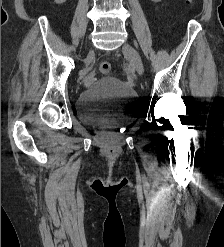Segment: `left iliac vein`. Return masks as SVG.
<instances>
[{
	"label": "left iliac vein",
	"mask_w": 224,
	"mask_h": 247,
	"mask_svg": "<svg viewBox=\"0 0 224 247\" xmlns=\"http://www.w3.org/2000/svg\"><path fill=\"white\" fill-rule=\"evenodd\" d=\"M122 51L124 55L127 56L132 62V64L135 66V69L137 70L138 74L142 76L144 73V67L138 51L128 43H125L123 45Z\"/></svg>",
	"instance_id": "left-iliac-vein-1"
}]
</instances>
